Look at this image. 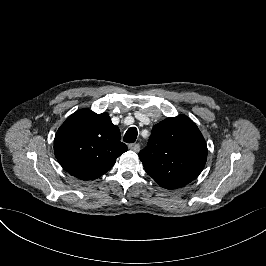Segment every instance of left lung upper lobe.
I'll return each mask as SVG.
<instances>
[{"instance_id":"5c2ea615","label":"left lung upper lobe","mask_w":266,"mask_h":266,"mask_svg":"<svg viewBox=\"0 0 266 266\" xmlns=\"http://www.w3.org/2000/svg\"><path fill=\"white\" fill-rule=\"evenodd\" d=\"M139 158L149 176L166 189L193 181L203 170L207 145L196 124L185 115L156 124Z\"/></svg>"}]
</instances>
